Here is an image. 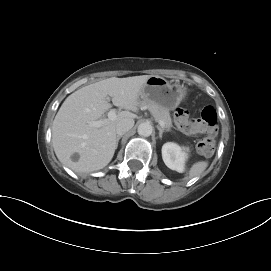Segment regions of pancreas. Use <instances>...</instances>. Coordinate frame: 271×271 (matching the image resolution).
<instances>
[{"label": "pancreas", "instance_id": "1", "mask_svg": "<svg viewBox=\"0 0 271 271\" xmlns=\"http://www.w3.org/2000/svg\"><path fill=\"white\" fill-rule=\"evenodd\" d=\"M141 105L146 107L157 121H163L165 123L166 130L170 131L172 120L168 110L153 102L142 101Z\"/></svg>", "mask_w": 271, "mask_h": 271}]
</instances>
